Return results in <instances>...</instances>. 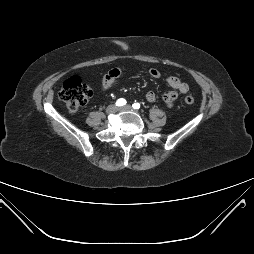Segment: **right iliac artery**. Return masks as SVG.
Returning a JSON list of instances; mask_svg holds the SVG:
<instances>
[{"mask_svg": "<svg viewBox=\"0 0 254 254\" xmlns=\"http://www.w3.org/2000/svg\"><path fill=\"white\" fill-rule=\"evenodd\" d=\"M126 104V100L123 98H120L116 101V106H123Z\"/></svg>", "mask_w": 254, "mask_h": 254, "instance_id": "82829eb1", "label": "right iliac artery"}]
</instances>
